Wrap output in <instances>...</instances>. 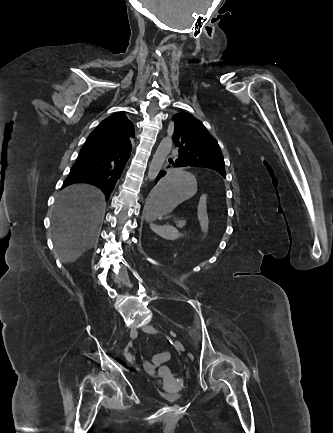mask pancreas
Returning a JSON list of instances; mask_svg holds the SVG:
<instances>
[{
	"mask_svg": "<svg viewBox=\"0 0 333 433\" xmlns=\"http://www.w3.org/2000/svg\"><path fill=\"white\" fill-rule=\"evenodd\" d=\"M186 222L179 220L178 222H176V225L178 228H183L185 226Z\"/></svg>",
	"mask_w": 333,
	"mask_h": 433,
	"instance_id": "1",
	"label": "pancreas"
}]
</instances>
